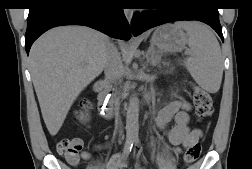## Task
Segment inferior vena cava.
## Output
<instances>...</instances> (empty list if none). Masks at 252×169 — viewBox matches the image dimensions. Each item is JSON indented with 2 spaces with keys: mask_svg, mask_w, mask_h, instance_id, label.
Segmentation results:
<instances>
[{
  "mask_svg": "<svg viewBox=\"0 0 252 169\" xmlns=\"http://www.w3.org/2000/svg\"><path fill=\"white\" fill-rule=\"evenodd\" d=\"M123 70V64L121 60V55L117 49V47L110 43L106 50V60L104 66L105 80L107 84L117 83V81L121 78ZM116 104V120L115 123L117 126L121 128V120L119 117V97H115ZM121 133V131H120Z\"/></svg>",
  "mask_w": 252,
  "mask_h": 169,
  "instance_id": "602c4592",
  "label": "inferior vena cava"
}]
</instances>
